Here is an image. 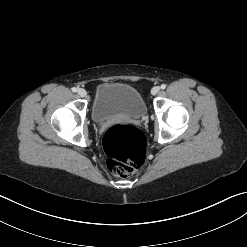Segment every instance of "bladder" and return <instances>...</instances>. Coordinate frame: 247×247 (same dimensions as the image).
Segmentation results:
<instances>
[{"mask_svg":"<svg viewBox=\"0 0 247 247\" xmlns=\"http://www.w3.org/2000/svg\"><path fill=\"white\" fill-rule=\"evenodd\" d=\"M147 112L141 94L123 83H102L97 86L91 107L96 123L114 118H141Z\"/></svg>","mask_w":247,"mask_h":247,"instance_id":"31cf9c89","label":"bladder"}]
</instances>
